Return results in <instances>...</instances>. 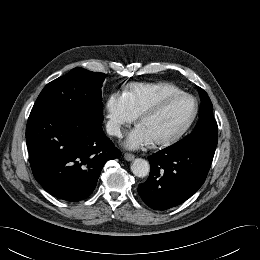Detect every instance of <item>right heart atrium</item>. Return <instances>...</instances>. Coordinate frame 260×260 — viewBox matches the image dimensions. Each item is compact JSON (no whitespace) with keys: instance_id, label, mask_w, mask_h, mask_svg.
I'll list each match as a JSON object with an SVG mask.
<instances>
[{"instance_id":"right-heart-atrium-1","label":"right heart atrium","mask_w":260,"mask_h":260,"mask_svg":"<svg viewBox=\"0 0 260 260\" xmlns=\"http://www.w3.org/2000/svg\"><path fill=\"white\" fill-rule=\"evenodd\" d=\"M106 113V128L112 136H121L125 127L136 118L124 95L116 92L111 93L106 100Z\"/></svg>"}]
</instances>
